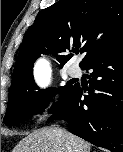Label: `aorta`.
<instances>
[{"mask_svg": "<svg viewBox=\"0 0 123 152\" xmlns=\"http://www.w3.org/2000/svg\"><path fill=\"white\" fill-rule=\"evenodd\" d=\"M35 74L37 82L41 87H45L49 82L50 67L45 59H39L35 65Z\"/></svg>", "mask_w": 123, "mask_h": 152, "instance_id": "762f6f07", "label": "aorta"}]
</instances>
